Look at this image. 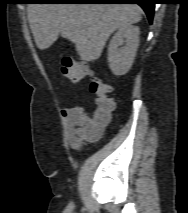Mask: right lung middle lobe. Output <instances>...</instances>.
<instances>
[{
  "label": "right lung middle lobe",
  "mask_w": 188,
  "mask_h": 213,
  "mask_svg": "<svg viewBox=\"0 0 188 213\" xmlns=\"http://www.w3.org/2000/svg\"><path fill=\"white\" fill-rule=\"evenodd\" d=\"M45 0H31V2H43Z\"/></svg>",
  "instance_id": "obj_1"
}]
</instances>
